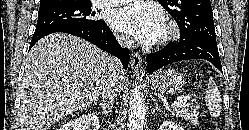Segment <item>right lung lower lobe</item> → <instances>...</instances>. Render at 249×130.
I'll return each instance as SVG.
<instances>
[{
  "instance_id": "right-lung-lower-lobe-1",
  "label": "right lung lower lobe",
  "mask_w": 249,
  "mask_h": 130,
  "mask_svg": "<svg viewBox=\"0 0 249 130\" xmlns=\"http://www.w3.org/2000/svg\"><path fill=\"white\" fill-rule=\"evenodd\" d=\"M56 32L68 33L88 40L100 49L119 58L123 64V68L127 69L130 59L129 49L122 48L118 44L115 36L104 21L97 26L60 25L43 30H35L29 49H31L33 45L42 37Z\"/></svg>"
}]
</instances>
